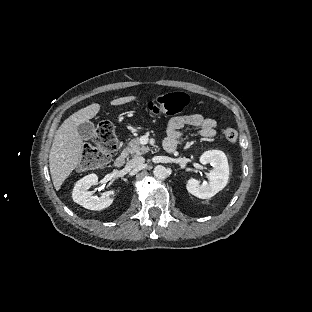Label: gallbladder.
<instances>
[{
    "instance_id": "gallbladder-1",
    "label": "gallbladder",
    "mask_w": 312,
    "mask_h": 312,
    "mask_svg": "<svg viewBox=\"0 0 312 312\" xmlns=\"http://www.w3.org/2000/svg\"><path fill=\"white\" fill-rule=\"evenodd\" d=\"M95 130V126L92 122H84L80 124L77 128V131L79 135L84 139V140H89L92 138L93 132Z\"/></svg>"
}]
</instances>
